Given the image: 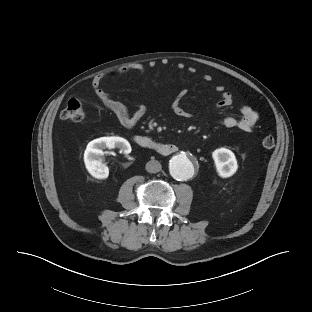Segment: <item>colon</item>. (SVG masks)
I'll use <instances>...</instances> for the list:
<instances>
[{"instance_id": "5ec220e1", "label": "colon", "mask_w": 312, "mask_h": 312, "mask_svg": "<svg viewBox=\"0 0 312 312\" xmlns=\"http://www.w3.org/2000/svg\"><path fill=\"white\" fill-rule=\"evenodd\" d=\"M85 113L83 103L78 98H71L64 109L60 112V119L65 121L78 122L84 119ZM275 145V139L272 135H266L262 139V146L271 149Z\"/></svg>"}]
</instances>
